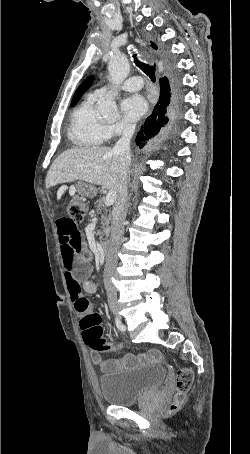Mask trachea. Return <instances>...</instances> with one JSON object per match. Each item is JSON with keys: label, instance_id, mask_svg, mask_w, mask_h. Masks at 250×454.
<instances>
[{"label": "trachea", "instance_id": "3493384b", "mask_svg": "<svg viewBox=\"0 0 250 454\" xmlns=\"http://www.w3.org/2000/svg\"><path fill=\"white\" fill-rule=\"evenodd\" d=\"M134 62L153 82L156 80L155 66H150L143 62H140L137 58V54H133Z\"/></svg>", "mask_w": 250, "mask_h": 454}]
</instances>
